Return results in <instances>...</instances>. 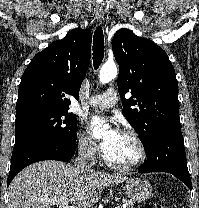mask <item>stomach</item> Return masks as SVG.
<instances>
[{"mask_svg": "<svg viewBox=\"0 0 199 208\" xmlns=\"http://www.w3.org/2000/svg\"><path fill=\"white\" fill-rule=\"evenodd\" d=\"M126 195L133 201H146L152 194L150 183L141 178H130L125 185Z\"/></svg>", "mask_w": 199, "mask_h": 208, "instance_id": "stomach-1", "label": "stomach"}]
</instances>
